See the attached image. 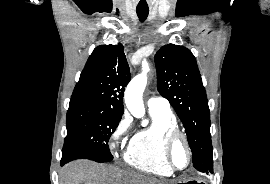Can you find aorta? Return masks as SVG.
<instances>
[{
	"label": "aorta",
	"mask_w": 270,
	"mask_h": 184,
	"mask_svg": "<svg viewBox=\"0 0 270 184\" xmlns=\"http://www.w3.org/2000/svg\"><path fill=\"white\" fill-rule=\"evenodd\" d=\"M148 66H143L142 73L136 75L128 84L124 94L127 109L137 118H142L145 114L143 103V92L147 84ZM147 122L145 121L144 124Z\"/></svg>",
	"instance_id": "762f6f07"
}]
</instances>
